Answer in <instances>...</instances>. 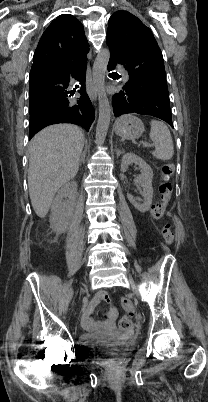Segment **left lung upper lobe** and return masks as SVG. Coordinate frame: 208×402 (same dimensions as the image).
Instances as JSON below:
<instances>
[{"label": "left lung upper lobe", "instance_id": "5c2ea615", "mask_svg": "<svg viewBox=\"0 0 208 402\" xmlns=\"http://www.w3.org/2000/svg\"><path fill=\"white\" fill-rule=\"evenodd\" d=\"M106 43L123 55L129 81L169 101L163 56L148 27L128 11H117L109 19Z\"/></svg>", "mask_w": 208, "mask_h": 402}]
</instances>
